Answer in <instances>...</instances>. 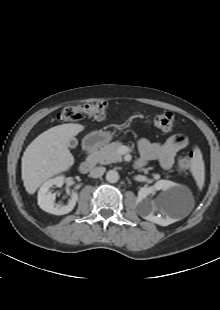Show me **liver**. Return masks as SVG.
<instances>
[{"instance_id": "6515ba94", "label": "liver", "mask_w": 220, "mask_h": 310, "mask_svg": "<svg viewBox=\"0 0 220 310\" xmlns=\"http://www.w3.org/2000/svg\"><path fill=\"white\" fill-rule=\"evenodd\" d=\"M83 130L81 124H62L46 130L30 143L21 166L23 184L29 194H34L43 182L74 164L68 142Z\"/></svg>"}]
</instances>
